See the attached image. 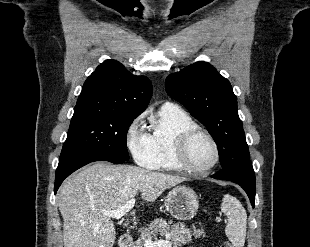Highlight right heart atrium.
Wrapping results in <instances>:
<instances>
[{"label": "right heart atrium", "mask_w": 310, "mask_h": 247, "mask_svg": "<svg viewBox=\"0 0 310 247\" xmlns=\"http://www.w3.org/2000/svg\"><path fill=\"white\" fill-rule=\"evenodd\" d=\"M145 115L141 114L136 117L126 130L125 140L128 150L134 160L148 168L153 166L154 159L151 152L149 136L142 130V123Z\"/></svg>", "instance_id": "d8ad5b80"}]
</instances>
